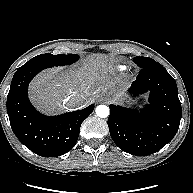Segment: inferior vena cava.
Returning <instances> with one entry per match:
<instances>
[{
	"label": "inferior vena cava",
	"mask_w": 193,
	"mask_h": 193,
	"mask_svg": "<svg viewBox=\"0 0 193 193\" xmlns=\"http://www.w3.org/2000/svg\"><path fill=\"white\" fill-rule=\"evenodd\" d=\"M66 102H68L69 107H81L85 105V99L79 94L68 97Z\"/></svg>",
	"instance_id": "1"
}]
</instances>
